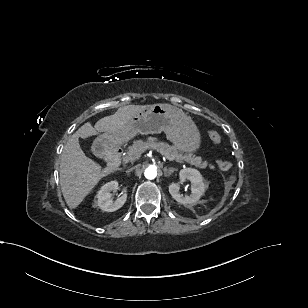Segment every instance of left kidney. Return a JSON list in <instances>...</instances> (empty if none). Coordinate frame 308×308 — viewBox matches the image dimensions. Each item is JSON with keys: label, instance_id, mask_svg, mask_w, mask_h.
Instances as JSON below:
<instances>
[{"label": "left kidney", "instance_id": "obj_1", "mask_svg": "<svg viewBox=\"0 0 308 308\" xmlns=\"http://www.w3.org/2000/svg\"><path fill=\"white\" fill-rule=\"evenodd\" d=\"M180 182L189 180L191 182V195L180 194V185L172 183L169 185V192L171 196L180 204H195L199 201L205 192V184L203 183L200 172L193 168H185L180 171Z\"/></svg>", "mask_w": 308, "mask_h": 308}]
</instances>
